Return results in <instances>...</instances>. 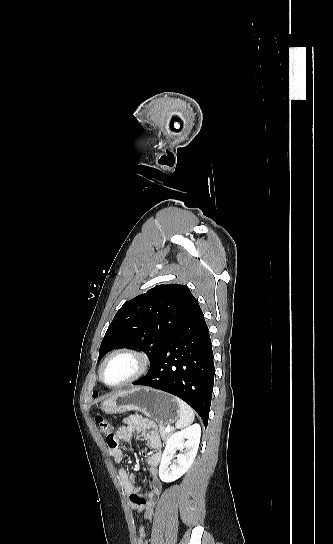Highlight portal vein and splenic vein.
<instances>
[{"mask_svg":"<svg viewBox=\"0 0 333 544\" xmlns=\"http://www.w3.org/2000/svg\"><path fill=\"white\" fill-rule=\"evenodd\" d=\"M165 431H166V432H170V431H171V427H170V426H167V427L165 428Z\"/></svg>","mask_w":333,"mask_h":544,"instance_id":"obj_1","label":"portal vein and splenic vein"}]
</instances>
